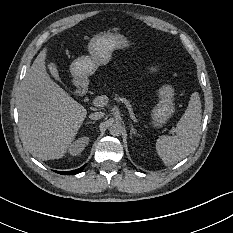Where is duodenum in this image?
Instances as JSON below:
<instances>
[{
	"mask_svg": "<svg viewBox=\"0 0 233 233\" xmlns=\"http://www.w3.org/2000/svg\"><path fill=\"white\" fill-rule=\"evenodd\" d=\"M75 94L77 96H84L89 89V81L87 78L78 77L75 79Z\"/></svg>",
	"mask_w": 233,
	"mask_h": 233,
	"instance_id": "duodenum-1",
	"label": "duodenum"
}]
</instances>
